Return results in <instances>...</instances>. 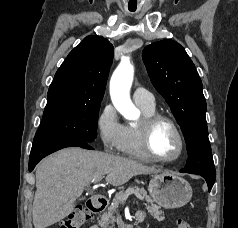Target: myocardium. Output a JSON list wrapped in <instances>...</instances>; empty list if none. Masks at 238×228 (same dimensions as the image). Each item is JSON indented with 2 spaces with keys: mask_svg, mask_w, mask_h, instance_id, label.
Wrapping results in <instances>:
<instances>
[{
  "mask_svg": "<svg viewBox=\"0 0 238 228\" xmlns=\"http://www.w3.org/2000/svg\"><path fill=\"white\" fill-rule=\"evenodd\" d=\"M160 123H167L173 129L179 141V151L177 155L173 158H161L153 151L152 136L156 127ZM138 128L140 132L142 148L151 160L161 163H172L182 157L185 150V139L177 123L169 116L160 113L143 116L140 122L138 123Z\"/></svg>",
  "mask_w": 238,
  "mask_h": 228,
  "instance_id": "myocardium-1",
  "label": "myocardium"
}]
</instances>
